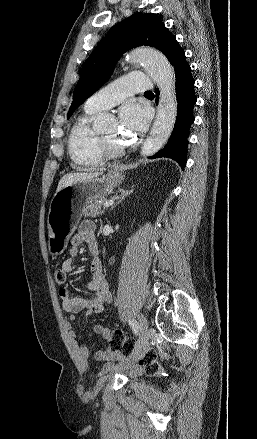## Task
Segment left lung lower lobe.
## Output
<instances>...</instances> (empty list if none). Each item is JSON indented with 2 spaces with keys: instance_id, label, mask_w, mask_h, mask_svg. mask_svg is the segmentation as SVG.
<instances>
[{
  "instance_id": "left-lung-lower-lobe-1",
  "label": "left lung lower lobe",
  "mask_w": 257,
  "mask_h": 439,
  "mask_svg": "<svg viewBox=\"0 0 257 439\" xmlns=\"http://www.w3.org/2000/svg\"><path fill=\"white\" fill-rule=\"evenodd\" d=\"M166 57L171 65L174 66L176 75V96L178 102L176 123L166 146L149 158H171L178 162L183 169L187 162L189 130L194 122L192 112L196 103L194 92L195 80L192 77L191 68L185 60V53L176 39L171 44ZM156 93L158 97L159 90H156Z\"/></svg>"
}]
</instances>
